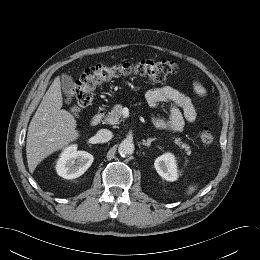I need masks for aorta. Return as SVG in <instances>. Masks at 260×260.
Segmentation results:
<instances>
[{
  "label": "aorta",
  "instance_id": "762f6f07",
  "mask_svg": "<svg viewBox=\"0 0 260 260\" xmlns=\"http://www.w3.org/2000/svg\"><path fill=\"white\" fill-rule=\"evenodd\" d=\"M118 152L121 156L131 155L134 152V144L130 140H123L118 147Z\"/></svg>",
  "mask_w": 260,
  "mask_h": 260
}]
</instances>
